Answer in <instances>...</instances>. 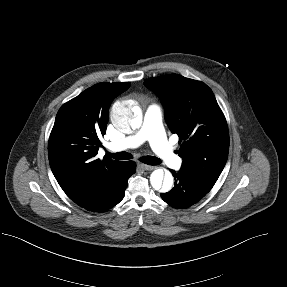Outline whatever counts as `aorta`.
<instances>
[{"label":"aorta","instance_id":"762f6f07","mask_svg":"<svg viewBox=\"0 0 287 287\" xmlns=\"http://www.w3.org/2000/svg\"><path fill=\"white\" fill-rule=\"evenodd\" d=\"M111 121L120 131L126 132L130 128L139 129L142 125V113L137 105L127 101L116 102L111 110ZM150 183L157 191L168 192L173 187V176L165 174L162 169L154 170L150 175Z\"/></svg>","mask_w":287,"mask_h":287}]
</instances>
